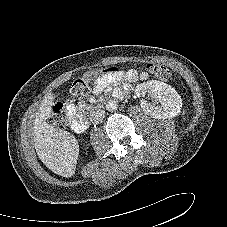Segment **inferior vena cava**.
Returning a JSON list of instances; mask_svg holds the SVG:
<instances>
[{"label":"inferior vena cava","mask_w":227,"mask_h":227,"mask_svg":"<svg viewBox=\"0 0 227 227\" xmlns=\"http://www.w3.org/2000/svg\"><path fill=\"white\" fill-rule=\"evenodd\" d=\"M104 118H105V111L102 109H96L90 115L91 121L95 124L102 122Z\"/></svg>","instance_id":"obj_1"}]
</instances>
